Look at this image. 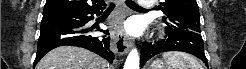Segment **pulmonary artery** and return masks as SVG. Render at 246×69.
I'll return each mask as SVG.
<instances>
[{"mask_svg": "<svg viewBox=\"0 0 246 69\" xmlns=\"http://www.w3.org/2000/svg\"><path fill=\"white\" fill-rule=\"evenodd\" d=\"M139 3L141 4V6L146 7V8L152 6L151 1H140Z\"/></svg>", "mask_w": 246, "mask_h": 69, "instance_id": "pulmonary-artery-1", "label": "pulmonary artery"}]
</instances>
